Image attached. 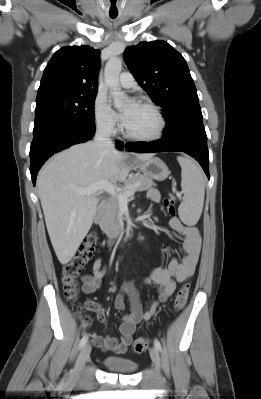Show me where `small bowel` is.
Returning a JSON list of instances; mask_svg holds the SVG:
<instances>
[{
  "instance_id": "1",
  "label": "small bowel",
  "mask_w": 261,
  "mask_h": 399,
  "mask_svg": "<svg viewBox=\"0 0 261 399\" xmlns=\"http://www.w3.org/2000/svg\"><path fill=\"white\" fill-rule=\"evenodd\" d=\"M146 196L151 202L157 203L160 201V195L156 189H149ZM169 225L184 238V242L180 247L183 253L182 260L179 261L176 258H172L167 267L153 269L144 280L145 284L155 286L159 294L158 299L152 300L145 311L134 283L126 281L122 284L120 292L114 299V307L117 310H124L125 298L127 297L130 302V312L122 317L119 327L120 338L102 337L96 333L90 334L94 345L103 351H110L115 354L125 353L132 343L137 324L154 316L158 304L166 301L175 291L176 282H184L194 274L202 246V237L199 229L195 226L184 225L178 217H172ZM106 272L107 266L103 264L102 258H96L93 262L92 273L83 277V292L91 294L99 288ZM87 306L96 312L99 321H105V312L99 304L88 302Z\"/></svg>"
}]
</instances>
